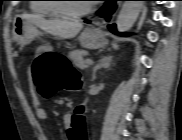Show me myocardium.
Segmentation results:
<instances>
[{"instance_id": "obj_1", "label": "myocardium", "mask_w": 182, "mask_h": 140, "mask_svg": "<svg viewBox=\"0 0 182 140\" xmlns=\"http://www.w3.org/2000/svg\"><path fill=\"white\" fill-rule=\"evenodd\" d=\"M59 1H63V0H59ZM55 7L59 15L68 19L81 18L87 15L92 10L91 4H87L83 9L79 11L68 10L63 2H58L57 4H55Z\"/></svg>"}]
</instances>
